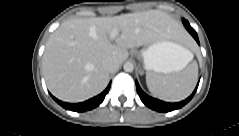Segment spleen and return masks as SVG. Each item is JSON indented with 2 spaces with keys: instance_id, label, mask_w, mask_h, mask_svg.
<instances>
[{
  "instance_id": "spleen-1",
  "label": "spleen",
  "mask_w": 239,
  "mask_h": 136,
  "mask_svg": "<svg viewBox=\"0 0 239 136\" xmlns=\"http://www.w3.org/2000/svg\"><path fill=\"white\" fill-rule=\"evenodd\" d=\"M193 54L189 52L188 62L192 60ZM184 67V68H185ZM198 77V66L192 62L183 71L168 75L148 72L146 84L149 91L160 99L168 102H177L185 99L193 91Z\"/></svg>"
}]
</instances>
